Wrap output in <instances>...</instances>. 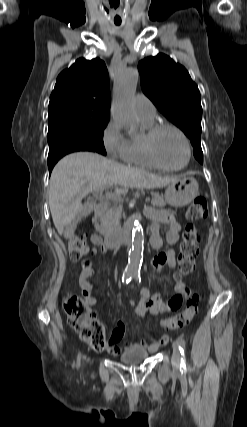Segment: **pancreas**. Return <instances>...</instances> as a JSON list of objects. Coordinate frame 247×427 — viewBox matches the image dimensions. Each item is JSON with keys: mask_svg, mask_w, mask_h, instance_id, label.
Segmentation results:
<instances>
[{"mask_svg": "<svg viewBox=\"0 0 247 427\" xmlns=\"http://www.w3.org/2000/svg\"><path fill=\"white\" fill-rule=\"evenodd\" d=\"M151 203L156 207H163L165 205L164 199L158 193L152 194ZM121 214V201H116L113 205L98 213L100 223L95 225L96 229L105 237L115 234L120 228Z\"/></svg>", "mask_w": 247, "mask_h": 427, "instance_id": "cf45deb5", "label": "pancreas"}]
</instances>
